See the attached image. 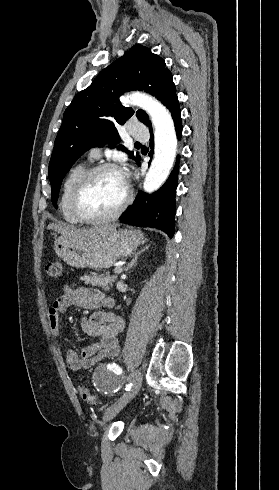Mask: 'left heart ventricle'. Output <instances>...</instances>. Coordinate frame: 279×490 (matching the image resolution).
<instances>
[{"mask_svg": "<svg viewBox=\"0 0 279 490\" xmlns=\"http://www.w3.org/2000/svg\"><path fill=\"white\" fill-rule=\"evenodd\" d=\"M126 197L123 174L105 171L97 175L85 198V208L92 215L113 212Z\"/></svg>", "mask_w": 279, "mask_h": 490, "instance_id": "obj_1", "label": "left heart ventricle"}]
</instances>
